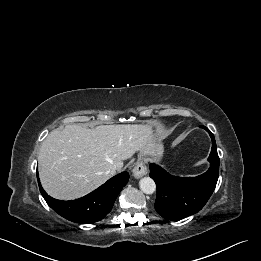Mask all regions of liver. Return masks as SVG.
Returning <instances> with one entry per match:
<instances>
[{"instance_id":"obj_1","label":"liver","mask_w":261,"mask_h":261,"mask_svg":"<svg viewBox=\"0 0 261 261\" xmlns=\"http://www.w3.org/2000/svg\"><path fill=\"white\" fill-rule=\"evenodd\" d=\"M151 137V127L142 124L55 129L38 155L42 186L56 199L80 198L105 183L112 167L122 169L124 160L145 150Z\"/></svg>"}]
</instances>
